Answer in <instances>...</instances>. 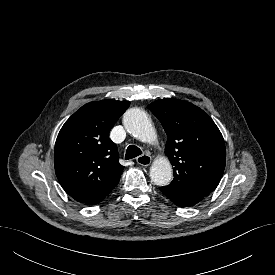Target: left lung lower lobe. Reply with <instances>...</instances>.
Returning a JSON list of instances; mask_svg holds the SVG:
<instances>
[{
	"instance_id": "obj_1",
	"label": "left lung lower lobe",
	"mask_w": 275,
	"mask_h": 275,
	"mask_svg": "<svg viewBox=\"0 0 275 275\" xmlns=\"http://www.w3.org/2000/svg\"><path fill=\"white\" fill-rule=\"evenodd\" d=\"M159 189L174 204L181 207H188L194 205L204 198V195L196 191H190L186 193H170L167 192L163 187H160Z\"/></svg>"
}]
</instances>
